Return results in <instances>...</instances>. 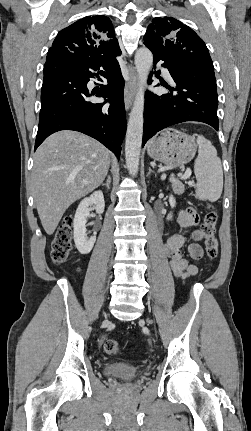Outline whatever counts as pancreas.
<instances>
[{
  "label": "pancreas",
  "instance_id": "obj_1",
  "mask_svg": "<svg viewBox=\"0 0 251 431\" xmlns=\"http://www.w3.org/2000/svg\"><path fill=\"white\" fill-rule=\"evenodd\" d=\"M171 186L175 194L181 195L185 191L184 184L175 178H170Z\"/></svg>",
  "mask_w": 251,
  "mask_h": 431
}]
</instances>
